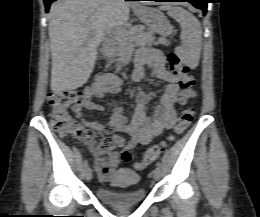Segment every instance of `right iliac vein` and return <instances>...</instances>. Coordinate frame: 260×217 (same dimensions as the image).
I'll return each instance as SVG.
<instances>
[{"label": "right iliac vein", "instance_id": "right-iliac-vein-1", "mask_svg": "<svg viewBox=\"0 0 260 217\" xmlns=\"http://www.w3.org/2000/svg\"><path fill=\"white\" fill-rule=\"evenodd\" d=\"M84 173H85L86 180H88V181L91 180V178H92V170L89 167H86Z\"/></svg>", "mask_w": 260, "mask_h": 217}]
</instances>
